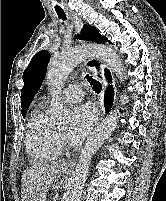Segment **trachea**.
<instances>
[{
	"label": "trachea",
	"instance_id": "trachea-1",
	"mask_svg": "<svg viewBox=\"0 0 166 201\" xmlns=\"http://www.w3.org/2000/svg\"><path fill=\"white\" fill-rule=\"evenodd\" d=\"M55 11L58 15V17L62 20H66V15L64 13V11L62 10V8L60 7H55ZM86 78L88 79L89 82H91L92 86H93V90L96 93H100L101 91V84L96 81L95 79H93L91 76H89L88 74L86 75Z\"/></svg>",
	"mask_w": 166,
	"mask_h": 201
}]
</instances>
